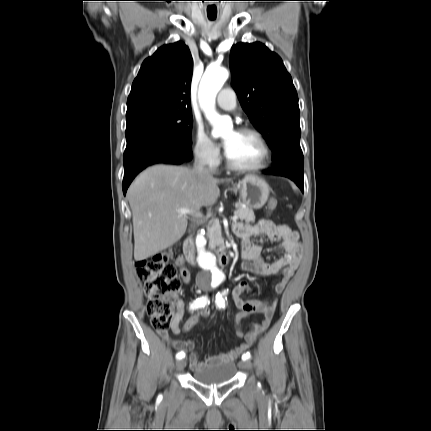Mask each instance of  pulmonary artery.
<instances>
[{
  "label": "pulmonary artery",
  "mask_w": 431,
  "mask_h": 431,
  "mask_svg": "<svg viewBox=\"0 0 431 431\" xmlns=\"http://www.w3.org/2000/svg\"><path fill=\"white\" fill-rule=\"evenodd\" d=\"M216 102L217 105L224 110H235L237 99L234 90L231 88L222 89L217 96Z\"/></svg>",
  "instance_id": "pulmonary-artery-1"
}]
</instances>
